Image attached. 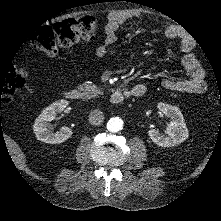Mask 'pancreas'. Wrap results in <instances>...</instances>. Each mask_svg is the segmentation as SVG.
Here are the masks:
<instances>
[{
  "label": "pancreas",
  "mask_w": 221,
  "mask_h": 221,
  "mask_svg": "<svg viewBox=\"0 0 221 221\" xmlns=\"http://www.w3.org/2000/svg\"><path fill=\"white\" fill-rule=\"evenodd\" d=\"M79 89L83 91V99L87 100L89 98L96 97L103 94V89L97 87L95 84H85L83 83Z\"/></svg>",
  "instance_id": "obj_1"
}]
</instances>
